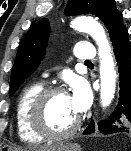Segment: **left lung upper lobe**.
Listing matches in <instances>:
<instances>
[{
    "label": "left lung upper lobe",
    "instance_id": "1",
    "mask_svg": "<svg viewBox=\"0 0 131 151\" xmlns=\"http://www.w3.org/2000/svg\"><path fill=\"white\" fill-rule=\"evenodd\" d=\"M66 13L69 15L82 13L96 15L104 22L112 42L128 33L122 24V13L115 7V0H70ZM49 33L48 20L42 19L32 26L25 35L19 46L11 73L10 97L40 64L45 55Z\"/></svg>",
    "mask_w": 131,
    "mask_h": 151
}]
</instances>
